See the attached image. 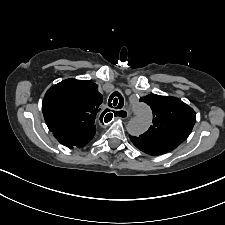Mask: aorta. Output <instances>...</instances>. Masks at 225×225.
<instances>
[{
    "label": "aorta",
    "mask_w": 225,
    "mask_h": 225,
    "mask_svg": "<svg viewBox=\"0 0 225 225\" xmlns=\"http://www.w3.org/2000/svg\"><path fill=\"white\" fill-rule=\"evenodd\" d=\"M135 116L128 122L127 131L132 136H139L146 132L152 122V112L143 102L131 103Z\"/></svg>",
    "instance_id": "aorta-1"
}]
</instances>
